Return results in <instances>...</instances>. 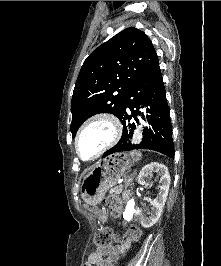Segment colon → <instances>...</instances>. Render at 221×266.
Here are the masks:
<instances>
[{"label": "colon", "instance_id": "obj_1", "mask_svg": "<svg viewBox=\"0 0 221 266\" xmlns=\"http://www.w3.org/2000/svg\"><path fill=\"white\" fill-rule=\"evenodd\" d=\"M104 204L109 208L111 214L114 217H118L121 213L120 201L113 197L107 196L104 199ZM141 235V231L138 227L132 225L128 229L125 238H128L131 242L138 240ZM121 237L116 235L111 229L105 228L100 230L94 237V244L98 249L107 247L113 241H119Z\"/></svg>", "mask_w": 221, "mask_h": 266}]
</instances>
